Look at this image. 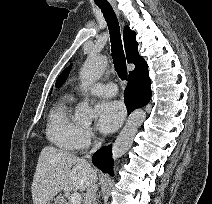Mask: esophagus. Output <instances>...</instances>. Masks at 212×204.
I'll return each instance as SVG.
<instances>
[{
	"label": "esophagus",
	"instance_id": "obj_1",
	"mask_svg": "<svg viewBox=\"0 0 212 204\" xmlns=\"http://www.w3.org/2000/svg\"><path fill=\"white\" fill-rule=\"evenodd\" d=\"M117 14L119 15V12L116 10Z\"/></svg>",
	"mask_w": 212,
	"mask_h": 204
}]
</instances>
